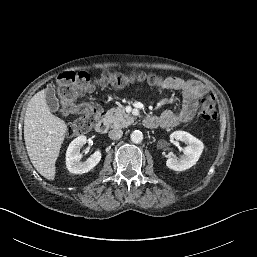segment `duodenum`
<instances>
[{
  "mask_svg": "<svg viewBox=\"0 0 257 257\" xmlns=\"http://www.w3.org/2000/svg\"><path fill=\"white\" fill-rule=\"evenodd\" d=\"M145 124L149 126L155 125V121L152 118H146L145 119ZM108 121L105 118H102L99 120V122L96 125V131L98 133H105L108 130ZM153 128V127H151Z\"/></svg>",
  "mask_w": 257,
  "mask_h": 257,
  "instance_id": "duodenum-1",
  "label": "duodenum"
}]
</instances>
